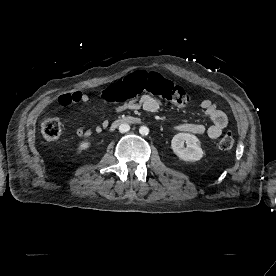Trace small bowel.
I'll list each match as a JSON object with an SVG mask.
<instances>
[{
    "label": "small bowel",
    "instance_id": "c3829d8e",
    "mask_svg": "<svg viewBox=\"0 0 276 276\" xmlns=\"http://www.w3.org/2000/svg\"><path fill=\"white\" fill-rule=\"evenodd\" d=\"M89 102V96L81 91H74L71 93H64L59 97V104L63 107H68L75 104H86ZM161 106V101L150 95H143L139 98L128 100L115 107L116 112H121L126 109H144L147 112L154 113L158 111ZM202 112L211 120V125L206 127L202 124L185 123L176 127L177 130L193 133L197 135L207 134L211 139H217L221 136L223 130L228 125L227 115L217 108V106L210 100H204L201 103ZM71 123H74L72 118H69ZM106 124L103 122L95 126L94 131L99 133L105 128ZM78 137L87 138L91 136L92 130L84 127L76 129Z\"/></svg>",
    "mask_w": 276,
    "mask_h": 276
}]
</instances>
